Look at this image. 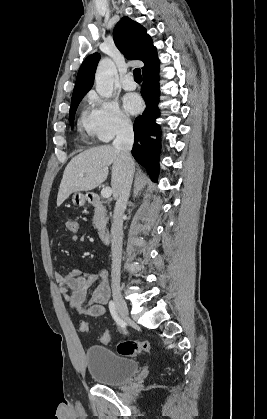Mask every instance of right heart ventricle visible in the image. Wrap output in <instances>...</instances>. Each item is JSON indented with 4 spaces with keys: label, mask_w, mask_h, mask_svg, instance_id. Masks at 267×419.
<instances>
[{
    "label": "right heart ventricle",
    "mask_w": 267,
    "mask_h": 419,
    "mask_svg": "<svg viewBox=\"0 0 267 419\" xmlns=\"http://www.w3.org/2000/svg\"><path fill=\"white\" fill-rule=\"evenodd\" d=\"M80 131L87 136H95V121L93 110L84 109L78 120Z\"/></svg>",
    "instance_id": "obj_1"
}]
</instances>
